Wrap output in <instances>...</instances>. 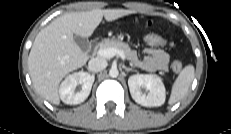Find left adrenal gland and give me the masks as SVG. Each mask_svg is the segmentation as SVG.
Masks as SVG:
<instances>
[{
    "mask_svg": "<svg viewBox=\"0 0 231 134\" xmlns=\"http://www.w3.org/2000/svg\"><path fill=\"white\" fill-rule=\"evenodd\" d=\"M124 69H125L127 72H129V71H135L134 69H132V68H127V67H124Z\"/></svg>",
    "mask_w": 231,
    "mask_h": 134,
    "instance_id": "1",
    "label": "left adrenal gland"
}]
</instances>
